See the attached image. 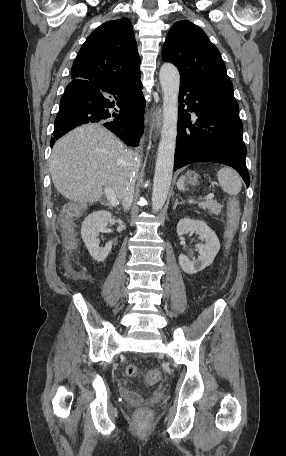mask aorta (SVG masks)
Here are the masks:
<instances>
[{
  "mask_svg": "<svg viewBox=\"0 0 286 456\" xmlns=\"http://www.w3.org/2000/svg\"><path fill=\"white\" fill-rule=\"evenodd\" d=\"M159 80L163 91V126L156 159L152 209L159 211L167 199L174 165L177 137L180 74L171 63L161 66Z\"/></svg>",
  "mask_w": 286,
  "mask_h": 456,
  "instance_id": "aorta-1",
  "label": "aorta"
}]
</instances>
